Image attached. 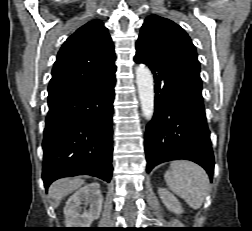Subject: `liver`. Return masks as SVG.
<instances>
[{
    "label": "liver",
    "mask_w": 252,
    "mask_h": 231,
    "mask_svg": "<svg viewBox=\"0 0 252 231\" xmlns=\"http://www.w3.org/2000/svg\"><path fill=\"white\" fill-rule=\"evenodd\" d=\"M84 184L81 178H65L55 181L49 188V195L59 205L68 194L73 193Z\"/></svg>",
    "instance_id": "obj_1"
}]
</instances>
